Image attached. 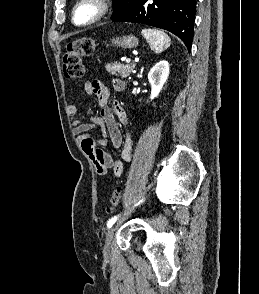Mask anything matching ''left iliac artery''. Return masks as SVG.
Wrapping results in <instances>:
<instances>
[{"label": "left iliac artery", "instance_id": "1", "mask_svg": "<svg viewBox=\"0 0 259 294\" xmlns=\"http://www.w3.org/2000/svg\"><path fill=\"white\" fill-rule=\"evenodd\" d=\"M143 201H144L143 199L140 200L135 206L139 205V204L142 203ZM117 219H118V216H114V217H112V218L108 221V223H107V227H108V228H111V227L114 225V223L117 221Z\"/></svg>", "mask_w": 259, "mask_h": 294}]
</instances>
